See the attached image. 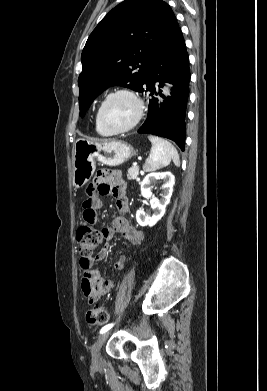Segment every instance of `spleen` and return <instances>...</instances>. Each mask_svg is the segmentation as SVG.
Returning <instances> with one entry per match:
<instances>
[{
    "instance_id": "obj_1",
    "label": "spleen",
    "mask_w": 267,
    "mask_h": 391,
    "mask_svg": "<svg viewBox=\"0 0 267 391\" xmlns=\"http://www.w3.org/2000/svg\"><path fill=\"white\" fill-rule=\"evenodd\" d=\"M148 139L152 143V147L150 155L143 166L144 171L152 172L166 167L171 160H173L176 166H180L179 154L170 142L152 135Z\"/></svg>"
}]
</instances>
